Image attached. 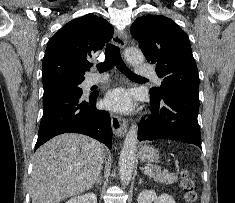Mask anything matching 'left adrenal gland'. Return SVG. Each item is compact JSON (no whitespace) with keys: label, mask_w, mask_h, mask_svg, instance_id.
<instances>
[{"label":"left adrenal gland","mask_w":235,"mask_h":203,"mask_svg":"<svg viewBox=\"0 0 235 203\" xmlns=\"http://www.w3.org/2000/svg\"><path fill=\"white\" fill-rule=\"evenodd\" d=\"M143 183V178H140L139 183L138 184H142Z\"/></svg>","instance_id":"obj_1"}]
</instances>
